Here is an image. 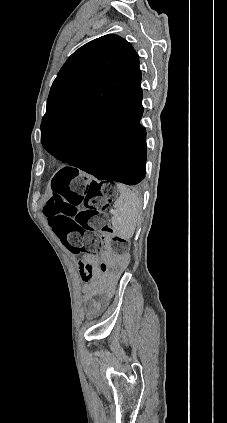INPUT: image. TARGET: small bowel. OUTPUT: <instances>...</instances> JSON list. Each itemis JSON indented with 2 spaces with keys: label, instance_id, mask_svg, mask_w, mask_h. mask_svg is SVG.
<instances>
[{
  "label": "small bowel",
  "instance_id": "obj_1",
  "mask_svg": "<svg viewBox=\"0 0 227 423\" xmlns=\"http://www.w3.org/2000/svg\"><path fill=\"white\" fill-rule=\"evenodd\" d=\"M87 263L94 270L92 263L89 261ZM124 265L123 259H116L110 254L103 256L102 262L98 267L100 275L95 279L92 288L84 289L83 301L88 317L98 315L106 307L108 303L106 298L95 299L94 296L105 286H109L112 283L114 277L123 269Z\"/></svg>",
  "mask_w": 227,
  "mask_h": 423
}]
</instances>
